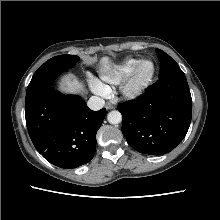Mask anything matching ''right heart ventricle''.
<instances>
[{"label":"right heart ventricle","instance_id":"e07e8e85","mask_svg":"<svg viewBox=\"0 0 220 220\" xmlns=\"http://www.w3.org/2000/svg\"><path fill=\"white\" fill-rule=\"evenodd\" d=\"M138 60L135 58H126L121 63L114 66L110 71L102 74L101 79L108 84H119L124 81ZM105 92H108V86L100 83Z\"/></svg>","mask_w":220,"mask_h":220}]
</instances>
